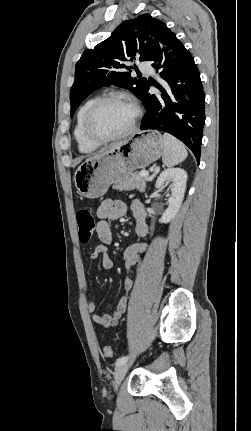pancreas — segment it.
<instances>
[{"label":"pancreas","instance_id":"obj_1","mask_svg":"<svg viewBox=\"0 0 251 431\" xmlns=\"http://www.w3.org/2000/svg\"><path fill=\"white\" fill-rule=\"evenodd\" d=\"M146 181L147 178L141 176L140 173H133L124 181L116 183L113 188L121 191L137 189L140 192H144L146 188Z\"/></svg>","mask_w":251,"mask_h":431}]
</instances>
